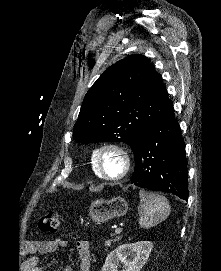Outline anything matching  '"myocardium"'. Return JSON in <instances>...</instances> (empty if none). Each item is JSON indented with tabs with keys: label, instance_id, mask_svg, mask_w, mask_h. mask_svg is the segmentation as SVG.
Here are the masks:
<instances>
[{
	"label": "myocardium",
	"instance_id": "f54148a6",
	"mask_svg": "<svg viewBox=\"0 0 221 271\" xmlns=\"http://www.w3.org/2000/svg\"><path fill=\"white\" fill-rule=\"evenodd\" d=\"M107 140H116V139H107ZM99 150H95L98 156H94L96 159V169H99V175H103L104 178H124L130 170L127 169L128 165H132L127 160V156H125L128 150H116L118 149V145L114 143H110L109 145H99ZM116 158V159H112ZM106 164H117L118 168L121 170L116 174H106L103 172Z\"/></svg>",
	"mask_w": 221,
	"mask_h": 271
}]
</instances>
